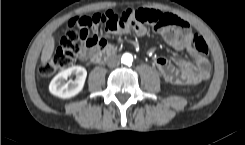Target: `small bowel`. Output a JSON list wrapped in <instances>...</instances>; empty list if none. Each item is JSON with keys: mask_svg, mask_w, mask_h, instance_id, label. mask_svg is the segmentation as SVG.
Wrapping results in <instances>:
<instances>
[{"mask_svg": "<svg viewBox=\"0 0 245 145\" xmlns=\"http://www.w3.org/2000/svg\"><path fill=\"white\" fill-rule=\"evenodd\" d=\"M92 32L97 34V27H92ZM147 30L144 27L136 29L138 35H145ZM195 33L191 30L188 22L179 20L177 28L164 27L159 31L161 39L176 51L186 50L192 57L194 63L183 58H174L171 64L165 58H157L154 66L161 76L172 84L196 85L209 77L204 75V68L207 66V59L204 55L196 51L192 46ZM107 41L98 37V43L94 47L83 46L79 55L81 60H87L97 50L107 46Z\"/></svg>", "mask_w": 245, "mask_h": 145, "instance_id": "obj_1", "label": "small bowel"}]
</instances>
